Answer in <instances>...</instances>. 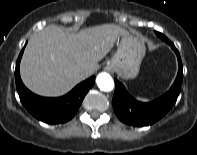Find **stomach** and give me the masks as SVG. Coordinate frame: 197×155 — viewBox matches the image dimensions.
Segmentation results:
<instances>
[{
    "mask_svg": "<svg viewBox=\"0 0 197 155\" xmlns=\"http://www.w3.org/2000/svg\"><path fill=\"white\" fill-rule=\"evenodd\" d=\"M145 55L144 44L130 35L121 37L117 52L107 63V68L124 79L135 78Z\"/></svg>",
    "mask_w": 197,
    "mask_h": 155,
    "instance_id": "obj_1",
    "label": "stomach"
}]
</instances>
